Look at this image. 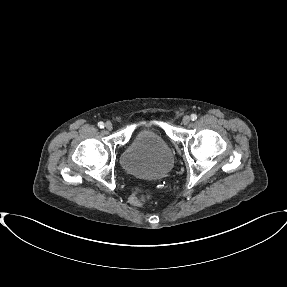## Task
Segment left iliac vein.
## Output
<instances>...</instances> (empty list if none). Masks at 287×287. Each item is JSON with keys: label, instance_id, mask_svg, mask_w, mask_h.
I'll list each match as a JSON object with an SVG mask.
<instances>
[{"label": "left iliac vein", "instance_id": "4c4485c4", "mask_svg": "<svg viewBox=\"0 0 287 287\" xmlns=\"http://www.w3.org/2000/svg\"><path fill=\"white\" fill-rule=\"evenodd\" d=\"M190 121H191V118L189 116H187V115L184 116L183 119H182V123L184 125H188L190 123Z\"/></svg>", "mask_w": 287, "mask_h": 287}]
</instances>
